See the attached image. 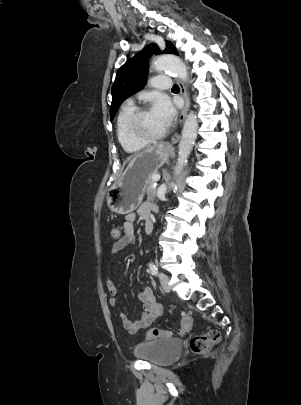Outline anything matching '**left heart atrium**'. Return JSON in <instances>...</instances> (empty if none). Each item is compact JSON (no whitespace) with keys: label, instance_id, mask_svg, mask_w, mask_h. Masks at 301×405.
<instances>
[{"label":"left heart atrium","instance_id":"39dd6f15","mask_svg":"<svg viewBox=\"0 0 301 405\" xmlns=\"http://www.w3.org/2000/svg\"><path fill=\"white\" fill-rule=\"evenodd\" d=\"M151 110L159 116L166 125H169L176 115L173 104L165 95H159L154 99Z\"/></svg>","mask_w":301,"mask_h":405}]
</instances>
